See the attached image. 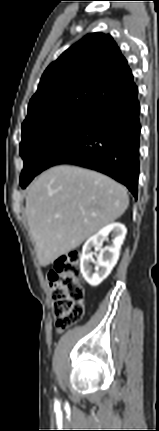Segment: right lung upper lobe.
<instances>
[{
  "instance_id": "1",
  "label": "right lung upper lobe",
  "mask_w": 159,
  "mask_h": 431,
  "mask_svg": "<svg viewBox=\"0 0 159 431\" xmlns=\"http://www.w3.org/2000/svg\"><path fill=\"white\" fill-rule=\"evenodd\" d=\"M136 90L132 72L113 38L91 33L47 67L22 126L59 112L89 116Z\"/></svg>"
}]
</instances>
